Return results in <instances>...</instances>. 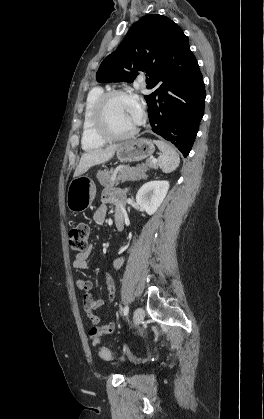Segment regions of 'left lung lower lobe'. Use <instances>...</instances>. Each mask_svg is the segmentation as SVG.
I'll list each match as a JSON object with an SVG mask.
<instances>
[{
    "label": "left lung lower lobe",
    "mask_w": 264,
    "mask_h": 419,
    "mask_svg": "<svg viewBox=\"0 0 264 419\" xmlns=\"http://www.w3.org/2000/svg\"><path fill=\"white\" fill-rule=\"evenodd\" d=\"M156 86L154 92L145 96L150 127L187 157L203 117L205 88L184 33L169 43L165 69L151 88Z\"/></svg>",
    "instance_id": "obj_1"
}]
</instances>
